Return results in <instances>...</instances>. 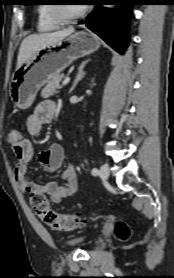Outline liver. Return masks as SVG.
I'll return each instance as SVG.
<instances>
[{"mask_svg": "<svg viewBox=\"0 0 174 278\" xmlns=\"http://www.w3.org/2000/svg\"><path fill=\"white\" fill-rule=\"evenodd\" d=\"M74 32L73 27H68L60 31L43 34H31L27 36L21 43L18 58L17 69L21 67L36 51L46 47L47 45L54 44L66 36L71 35Z\"/></svg>", "mask_w": 174, "mask_h": 278, "instance_id": "1", "label": "liver"}]
</instances>
